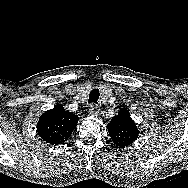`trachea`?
I'll list each match as a JSON object with an SVG mask.
<instances>
[{
  "label": "trachea",
  "instance_id": "3493384b",
  "mask_svg": "<svg viewBox=\"0 0 188 188\" xmlns=\"http://www.w3.org/2000/svg\"><path fill=\"white\" fill-rule=\"evenodd\" d=\"M100 93L98 89H92L89 94L88 103H94L97 104L99 99Z\"/></svg>",
  "mask_w": 188,
  "mask_h": 188
}]
</instances>
